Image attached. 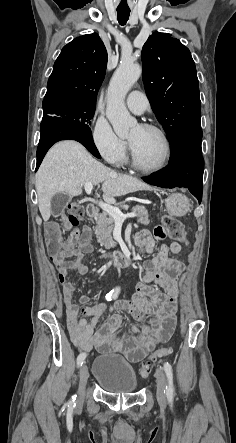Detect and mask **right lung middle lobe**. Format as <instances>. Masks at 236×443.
Segmentation results:
<instances>
[{
    "instance_id": "right-lung-middle-lobe-1",
    "label": "right lung middle lobe",
    "mask_w": 236,
    "mask_h": 443,
    "mask_svg": "<svg viewBox=\"0 0 236 443\" xmlns=\"http://www.w3.org/2000/svg\"><path fill=\"white\" fill-rule=\"evenodd\" d=\"M43 109V118L60 117L69 120L78 128L91 132L89 124L95 112L94 103L72 97H59L44 101Z\"/></svg>"
}]
</instances>
